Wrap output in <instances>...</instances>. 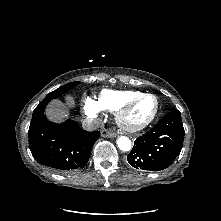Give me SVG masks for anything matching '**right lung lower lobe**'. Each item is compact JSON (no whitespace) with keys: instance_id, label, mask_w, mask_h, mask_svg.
<instances>
[{"instance_id":"right-lung-lower-lobe-1","label":"right lung lower lobe","mask_w":221,"mask_h":221,"mask_svg":"<svg viewBox=\"0 0 221 221\" xmlns=\"http://www.w3.org/2000/svg\"><path fill=\"white\" fill-rule=\"evenodd\" d=\"M49 101L35 108L29 127V147L41 165L59 172L83 168L100 132H88L72 120L55 124L46 119L44 110Z\"/></svg>"}]
</instances>
